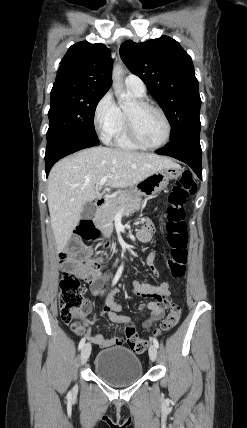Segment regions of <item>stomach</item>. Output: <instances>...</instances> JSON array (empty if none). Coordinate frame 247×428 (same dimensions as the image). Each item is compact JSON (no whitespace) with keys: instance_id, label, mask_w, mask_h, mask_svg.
Masks as SVG:
<instances>
[{"instance_id":"stomach-1","label":"stomach","mask_w":247,"mask_h":428,"mask_svg":"<svg viewBox=\"0 0 247 428\" xmlns=\"http://www.w3.org/2000/svg\"><path fill=\"white\" fill-rule=\"evenodd\" d=\"M181 175L180 167L164 168L138 183L131 191L146 197H154L168 186L170 180L178 179Z\"/></svg>"}]
</instances>
